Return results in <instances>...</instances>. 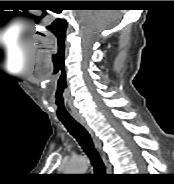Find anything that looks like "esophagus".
I'll use <instances>...</instances> for the list:
<instances>
[{
  "mask_svg": "<svg viewBox=\"0 0 174 184\" xmlns=\"http://www.w3.org/2000/svg\"><path fill=\"white\" fill-rule=\"evenodd\" d=\"M75 119L88 131L102 159L106 161V155L102 150L101 141L95 134L94 130L90 127V125L87 123V121L83 117L76 116Z\"/></svg>",
  "mask_w": 174,
  "mask_h": 184,
  "instance_id": "obj_1",
  "label": "esophagus"
}]
</instances>
